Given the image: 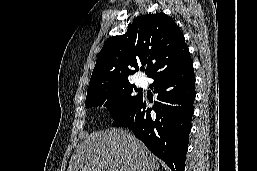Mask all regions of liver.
Segmentation results:
<instances>
[{
  "mask_svg": "<svg viewBox=\"0 0 257 171\" xmlns=\"http://www.w3.org/2000/svg\"><path fill=\"white\" fill-rule=\"evenodd\" d=\"M137 170H134V169ZM156 157L130 133L121 129L84 136L67 171H158Z\"/></svg>",
  "mask_w": 257,
  "mask_h": 171,
  "instance_id": "obj_1",
  "label": "liver"
}]
</instances>
